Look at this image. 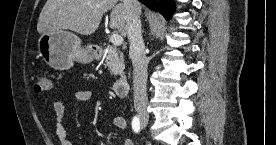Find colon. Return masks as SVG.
I'll return each mask as SVG.
<instances>
[{"label":"colon","mask_w":276,"mask_h":145,"mask_svg":"<svg viewBox=\"0 0 276 145\" xmlns=\"http://www.w3.org/2000/svg\"><path fill=\"white\" fill-rule=\"evenodd\" d=\"M52 90V82L46 73H39L34 83V91L36 93H44Z\"/></svg>","instance_id":"5ec220e1"}]
</instances>
